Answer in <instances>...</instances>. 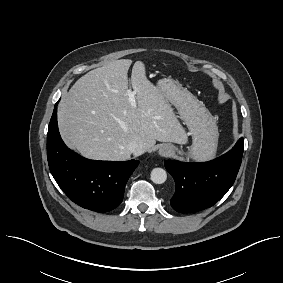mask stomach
<instances>
[{"label": "stomach", "mask_w": 283, "mask_h": 283, "mask_svg": "<svg viewBox=\"0 0 283 283\" xmlns=\"http://www.w3.org/2000/svg\"><path fill=\"white\" fill-rule=\"evenodd\" d=\"M157 87L163 97L176 107L189 130V135L192 136V145L188 151L175 148L177 155L196 161L213 159L218 146V126L205 105L172 79L159 80Z\"/></svg>", "instance_id": "0dacf381"}]
</instances>
